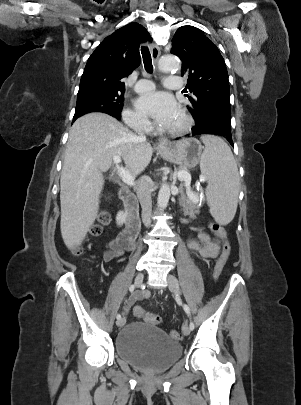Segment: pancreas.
I'll list each match as a JSON object with an SVG mask.
<instances>
[{"mask_svg":"<svg viewBox=\"0 0 301 405\" xmlns=\"http://www.w3.org/2000/svg\"><path fill=\"white\" fill-rule=\"evenodd\" d=\"M181 171H187L185 168H182ZM181 195L179 197V204L183 207L184 211L187 213H196L198 212V207H196V202L192 201L189 196L185 195L180 186Z\"/></svg>","mask_w":301,"mask_h":405,"instance_id":"1","label":"pancreas"}]
</instances>
